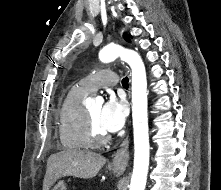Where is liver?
I'll return each instance as SVG.
<instances>
[{"instance_id":"6515ba94","label":"liver","mask_w":221,"mask_h":190,"mask_svg":"<svg viewBox=\"0 0 221 190\" xmlns=\"http://www.w3.org/2000/svg\"><path fill=\"white\" fill-rule=\"evenodd\" d=\"M105 163V157L91 151L66 149L52 154L47 160L43 190H49L61 177L93 178Z\"/></svg>"}]
</instances>
